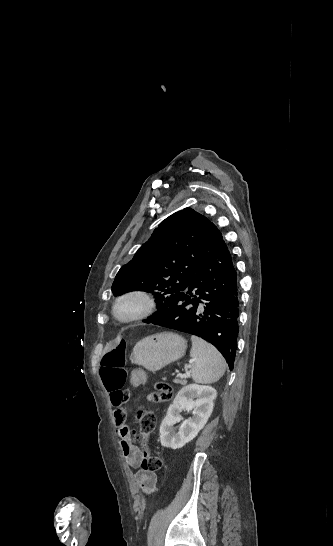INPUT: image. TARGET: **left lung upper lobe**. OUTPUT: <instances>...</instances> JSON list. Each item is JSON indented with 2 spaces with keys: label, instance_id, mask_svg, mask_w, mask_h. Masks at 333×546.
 <instances>
[{
  "label": "left lung upper lobe",
  "instance_id": "1",
  "mask_svg": "<svg viewBox=\"0 0 333 546\" xmlns=\"http://www.w3.org/2000/svg\"><path fill=\"white\" fill-rule=\"evenodd\" d=\"M218 228L191 208L178 211L154 230L150 239L122 266L112 285L114 296L141 290L157 303L155 319L170 309L172 298L186 291L207 257Z\"/></svg>",
  "mask_w": 333,
  "mask_h": 546
}]
</instances>
